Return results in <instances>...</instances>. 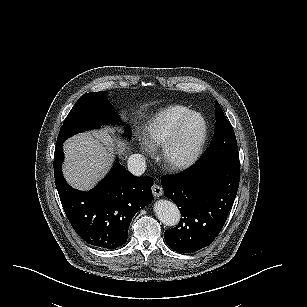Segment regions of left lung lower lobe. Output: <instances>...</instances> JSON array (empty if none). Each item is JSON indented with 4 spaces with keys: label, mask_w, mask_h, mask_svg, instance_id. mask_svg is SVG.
<instances>
[{
    "label": "left lung lower lobe",
    "mask_w": 307,
    "mask_h": 307,
    "mask_svg": "<svg viewBox=\"0 0 307 307\" xmlns=\"http://www.w3.org/2000/svg\"><path fill=\"white\" fill-rule=\"evenodd\" d=\"M240 181V165L195 164L161 180L164 195L181 211L179 224L164 233L169 247L192 253L210 245L225 224Z\"/></svg>",
    "instance_id": "1"
}]
</instances>
